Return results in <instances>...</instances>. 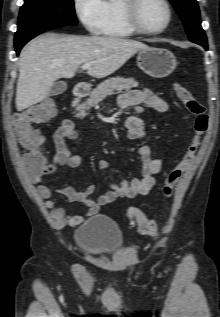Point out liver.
Returning a JSON list of instances; mask_svg holds the SVG:
<instances>
[{"label":"liver","mask_w":220,"mask_h":317,"mask_svg":"<svg viewBox=\"0 0 220 317\" xmlns=\"http://www.w3.org/2000/svg\"><path fill=\"white\" fill-rule=\"evenodd\" d=\"M148 46L118 37H76L46 34L21 51L16 108L22 111L43 101L57 79L72 78L78 67L92 63L87 74L104 78L122 67L137 51Z\"/></svg>","instance_id":"obj_1"}]
</instances>
